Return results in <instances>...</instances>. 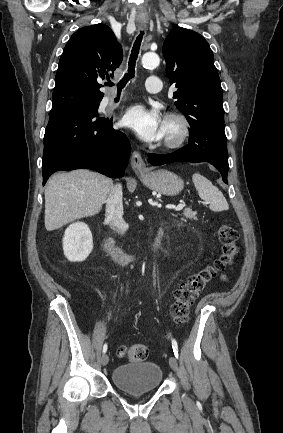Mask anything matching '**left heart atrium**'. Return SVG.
<instances>
[{"instance_id":"1","label":"left heart atrium","mask_w":283,"mask_h":433,"mask_svg":"<svg viewBox=\"0 0 283 433\" xmlns=\"http://www.w3.org/2000/svg\"><path fill=\"white\" fill-rule=\"evenodd\" d=\"M124 123L145 143H157L165 138L164 120L154 108L134 105L126 111Z\"/></svg>"}]
</instances>
